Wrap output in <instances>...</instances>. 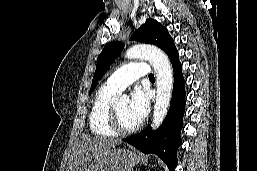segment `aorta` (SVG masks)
Instances as JSON below:
<instances>
[{"label": "aorta", "mask_w": 257, "mask_h": 171, "mask_svg": "<svg viewBox=\"0 0 257 171\" xmlns=\"http://www.w3.org/2000/svg\"><path fill=\"white\" fill-rule=\"evenodd\" d=\"M128 59H146L152 65L157 77V95L154 105L152 126L158 128L164 120L171 100L173 86V72L170 61L166 54L151 45H135L126 52ZM119 101H128V97L123 95Z\"/></svg>", "instance_id": "762f6f07"}]
</instances>
